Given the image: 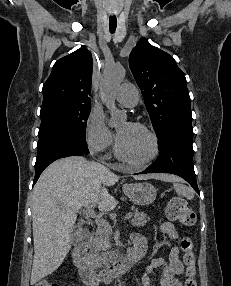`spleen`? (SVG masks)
<instances>
[{"mask_svg":"<svg viewBox=\"0 0 231 286\" xmlns=\"http://www.w3.org/2000/svg\"><path fill=\"white\" fill-rule=\"evenodd\" d=\"M173 186L178 195H181L189 200L193 199L194 193L192 189H190L186 185L181 184L178 179L173 180Z\"/></svg>","mask_w":231,"mask_h":286,"instance_id":"3e777b00","label":"spleen"}]
</instances>
